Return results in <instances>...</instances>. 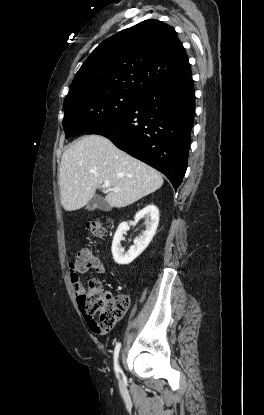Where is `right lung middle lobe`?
Returning <instances> with one entry per match:
<instances>
[{
  "label": "right lung middle lobe",
  "mask_w": 264,
  "mask_h": 415,
  "mask_svg": "<svg viewBox=\"0 0 264 415\" xmlns=\"http://www.w3.org/2000/svg\"><path fill=\"white\" fill-rule=\"evenodd\" d=\"M139 98L127 92H107L65 100L63 128L66 138L88 132L119 117L129 111Z\"/></svg>",
  "instance_id": "dd1d6c3e"
}]
</instances>
